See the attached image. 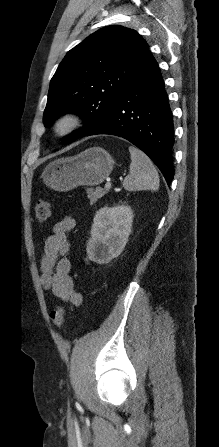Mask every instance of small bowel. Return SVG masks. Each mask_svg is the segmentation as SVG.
Listing matches in <instances>:
<instances>
[{
	"mask_svg": "<svg viewBox=\"0 0 219 447\" xmlns=\"http://www.w3.org/2000/svg\"><path fill=\"white\" fill-rule=\"evenodd\" d=\"M76 220L70 213L56 222L47 237L40 260L41 284L57 298L79 306L82 296L76 290L71 275V263L67 257L70 244L68 233L75 228Z\"/></svg>",
	"mask_w": 219,
	"mask_h": 447,
	"instance_id": "small-bowel-1",
	"label": "small bowel"
}]
</instances>
